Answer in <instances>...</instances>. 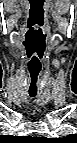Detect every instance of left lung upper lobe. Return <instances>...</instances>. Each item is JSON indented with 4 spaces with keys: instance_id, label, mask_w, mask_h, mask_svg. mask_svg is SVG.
Here are the masks:
<instances>
[{
    "instance_id": "5c2ea615",
    "label": "left lung upper lobe",
    "mask_w": 77,
    "mask_h": 143,
    "mask_svg": "<svg viewBox=\"0 0 77 143\" xmlns=\"http://www.w3.org/2000/svg\"><path fill=\"white\" fill-rule=\"evenodd\" d=\"M74 136L73 135H69V136H67L65 139H71V138H73Z\"/></svg>"
}]
</instances>
